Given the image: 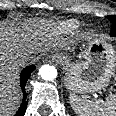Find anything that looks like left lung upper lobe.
Instances as JSON below:
<instances>
[{
	"instance_id": "1",
	"label": "left lung upper lobe",
	"mask_w": 116,
	"mask_h": 116,
	"mask_svg": "<svg viewBox=\"0 0 116 116\" xmlns=\"http://www.w3.org/2000/svg\"><path fill=\"white\" fill-rule=\"evenodd\" d=\"M107 18L112 22L110 36H116V15H109Z\"/></svg>"
}]
</instances>
